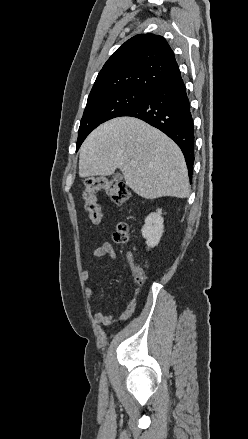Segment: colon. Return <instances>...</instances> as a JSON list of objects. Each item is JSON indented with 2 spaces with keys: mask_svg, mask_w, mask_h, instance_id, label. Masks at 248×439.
Here are the masks:
<instances>
[{
  "mask_svg": "<svg viewBox=\"0 0 248 439\" xmlns=\"http://www.w3.org/2000/svg\"><path fill=\"white\" fill-rule=\"evenodd\" d=\"M105 191L106 194L117 205L125 204L130 197L127 186L118 180L104 177L89 178L86 180V188L83 194L85 210L93 225L98 226L102 221V212L97 202L96 193ZM114 240L125 243L129 240V228L125 223H120L114 233ZM145 279L144 270L141 267L135 269V282L142 284Z\"/></svg>",
  "mask_w": 248,
  "mask_h": 439,
  "instance_id": "5ec220e1",
  "label": "colon"
}]
</instances>
